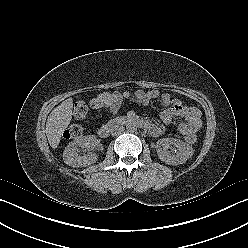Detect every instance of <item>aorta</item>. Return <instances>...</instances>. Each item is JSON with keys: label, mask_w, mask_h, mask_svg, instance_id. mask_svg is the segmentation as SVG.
<instances>
[{"label": "aorta", "mask_w": 248, "mask_h": 248, "mask_svg": "<svg viewBox=\"0 0 248 248\" xmlns=\"http://www.w3.org/2000/svg\"><path fill=\"white\" fill-rule=\"evenodd\" d=\"M126 129H127L128 132H135L137 127H136L135 123L128 122L127 125H126Z\"/></svg>", "instance_id": "obj_1"}]
</instances>
